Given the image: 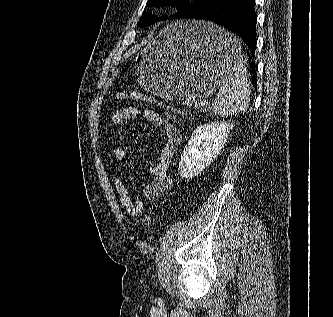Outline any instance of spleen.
<instances>
[{
  "label": "spleen",
  "mask_w": 333,
  "mask_h": 317,
  "mask_svg": "<svg viewBox=\"0 0 333 317\" xmlns=\"http://www.w3.org/2000/svg\"><path fill=\"white\" fill-rule=\"evenodd\" d=\"M219 29V44L229 55L228 73L219 87L211 110L219 116H229L246 111L250 103V87L247 82L245 61L239 51V43L232 34Z\"/></svg>",
  "instance_id": "3e777b00"
}]
</instances>
